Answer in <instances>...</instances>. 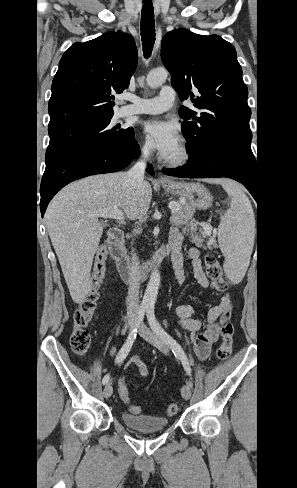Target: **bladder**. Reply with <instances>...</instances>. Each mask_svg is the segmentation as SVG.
Masks as SVG:
<instances>
[{
	"mask_svg": "<svg viewBox=\"0 0 297 488\" xmlns=\"http://www.w3.org/2000/svg\"><path fill=\"white\" fill-rule=\"evenodd\" d=\"M121 420L128 428L139 432L161 431L169 424L168 419L164 417L130 413H122Z\"/></svg>",
	"mask_w": 297,
	"mask_h": 488,
	"instance_id": "31cf9c89",
	"label": "bladder"
}]
</instances>
